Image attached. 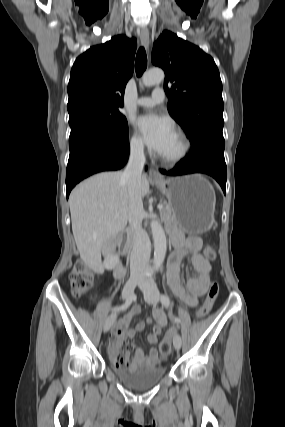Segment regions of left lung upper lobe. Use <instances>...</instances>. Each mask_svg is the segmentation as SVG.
Wrapping results in <instances>:
<instances>
[{"label": "left lung upper lobe", "mask_w": 285, "mask_h": 427, "mask_svg": "<svg viewBox=\"0 0 285 427\" xmlns=\"http://www.w3.org/2000/svg\"><path fill=\"white\" fill-rule=\"evenodd\" d=\"M152 62L165 71L168 111L191 143L206 134L223 136L222 82L213 58L164 31L154 43Z\"/></svg>", "instance_id": "obj_1"}]
</instances>
